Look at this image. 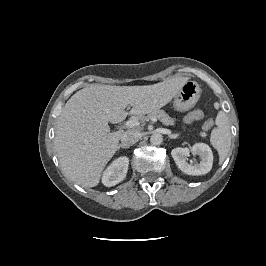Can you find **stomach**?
I'll list each match as a JSON object with an SVG mask.
<instances>
[{
    "label": "stomach",
    "mask_w": 266,
    "mask_h": 266,
    "mask_svg": "<svg viewBox=\"0 0 266 266\" xmlns=\"http://www.w3.org/2000/svg\"><path fill=\"white\" fill-rule=\"evenodd\" d=\"M201 95V88L195 81L187 80L178 93L174 96L173 106L177 111H187L198 101Z\"/></svg>",
    "instance_id": "0dacf381"
}]
</instances>
